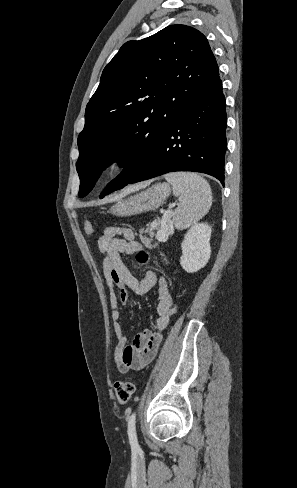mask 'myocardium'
Instances as JSON below:
<instances>
[{
  "label": "myocardium",
  "mask_w": 297,
  "mask_h": 488,
  "mask_svg": "<svg viewBox=\"0 0 297 488\" xmlns=\"http://www.w3.org/2000/svg\"><path fill=\"white\" fill-rule=\"evenodd\" d=\"M133 153L124 147L110 150L104 158V170L109 175L123 172L132 162Z\"/></svg>",
  "instance_id": "myocardium-1"
}]
</instances>
